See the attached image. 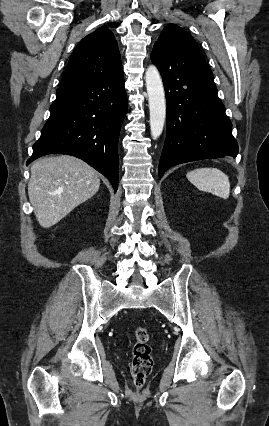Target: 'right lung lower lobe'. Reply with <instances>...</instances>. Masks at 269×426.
I'll use <instances>...</instances> for the list:
<instances>
[{"instance_id":"98d812e1","label":"right lung lower lobe","mask_w":269,"mask_h":426,"mask_svg":"<svg viewBox=\"0 0 269 426\" xmlns=\"http://www.w3.org/2000/svg\"><path fill=\"white\" fill-rule=\"evenodd\" d=\"M123 71L115 76L59 87L50 117L27 165L47 154L87 162L118 188V139L127 112Z\"/></svg>"}]
</instances>
